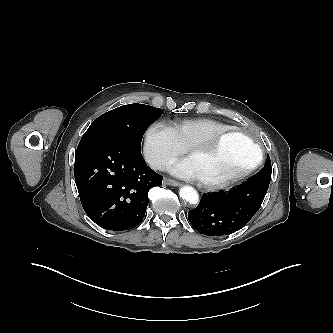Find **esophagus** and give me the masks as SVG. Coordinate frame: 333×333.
Here are the masks:
<instances>
[{"label": "esophagus", "mask_w": 333, "mask_h": 333, "mask_svg": "<svg viewBox=\"0 0 333 333\" xmlns=\"http://www.w3.org/2000/svg\"><path fill=\"white\" fill-rule=\"evenodd\" d=\"M163 182H164V184L170 185V186H180L181 185L180 182L175 181V180L170 179V178H164Z\"/></svg>", "instance_id": "34e87169"}]
</instances>
